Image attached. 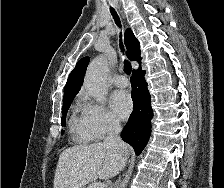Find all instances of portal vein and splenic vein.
<instances>
[{
  "label": "portal vein and splenic vein",
  "mask_w": 224,
  "mask_h": 188,
  "mask_svg": "<svg viewBox=\"0 0 224 188\" xmlns=\"http://www.w3.org/2000/svg\"><path fill=\"white\" fill-rule=\"evenodd\" d=\"M91 188H106V185L104 183H101V182H99V183H93L91 185Z\"/></svg>",
  "instance_id": "portal-vein-and-splenic-vein-1"
}]
</instances>
